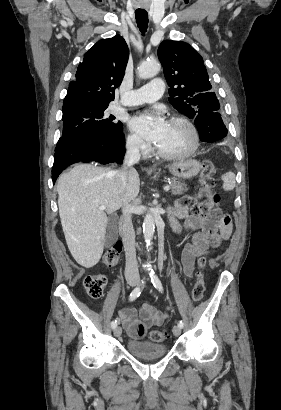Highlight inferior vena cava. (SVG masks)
I'll return each mask as SVG.
<instances>
[{
	"instance_id": "obj_1",
	"label": "inferior vena cava",
	"mask_w": 281,
	"mask_h": 410,
	"mask_svg": "<svg viewBox=\"0 0 281 410\" xmlns=\"http://www.w3.org/2000/svg\"><path fill=\"white\" fill-rule=\"evenodd\" d=\"M126 150L127 151L121 169L115 171V178L122 189L126 187L129 173L135 170L133 165L138 163L140 160L138 142H128L126 145ZM121 207L123 213L121 232L126 255L125 277L127 280H134L138 282L140 277L136 260L135 232L132 224V206L128 201H125Z\"/></svg>"
}]
</instances>
